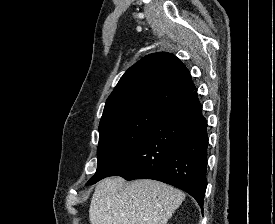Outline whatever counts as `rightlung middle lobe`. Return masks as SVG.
Listing matches in <instances>:
<instances>
[{
  "label": "right lung middle lobe",
  "mask_w": 275,
  "mask_h": 224,
  "mask_svg": "<svg viewBox=\"0 0 275 224\" xmlns=\"http://www.w3.org/2000/svg\"><path fill=\"white\" fill-rule=\"evenodd\" d=\"M165 111L146 107L100 124L97 171L87 185L108 177L144 140Z\"/></svg>",
  "instance_id": "dd1d6c3e"
}]
</instances>
